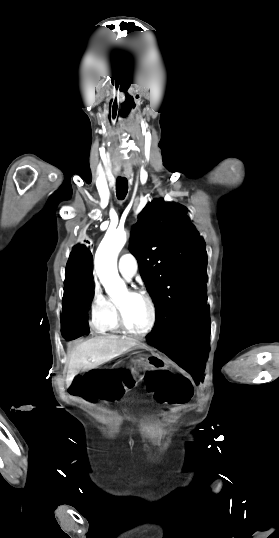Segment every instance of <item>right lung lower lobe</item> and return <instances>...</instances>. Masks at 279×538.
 <instances>
[{"mask_svg":"<svg viewBox=\"0 0 279 538\" xmlns=\"http://www.w3.org/2000/svg\"><path fill=\"white\" fill-rule=\"evenodd\" d=\"M93 257L84 245L73 248L66 266L62 300L61 333L65 339H76L89 332L87 306L93 297Z\"/></svg>","mask_w":279,"mask_h":538,"instance_id":"98d812e1","label":"right lung lower lobe"}]
</instances>
